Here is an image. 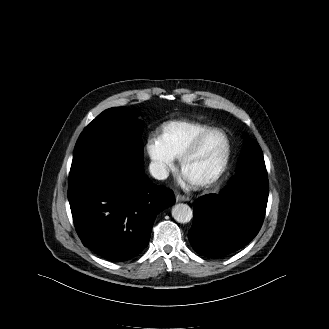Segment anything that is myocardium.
Segmentation results:
<instances>
[{
  "mask_svg": "<svg viewBox=\"0 0 329 329\" xmlns=\"http://www.w3.org/2000/svg\"><path fill=\"white\" fill-rule=\"evenodd\" d=\"M213 133H221L225 137V140H226L225 154H224L223 160H222L219 168L212 176H210L209 178H207L205 180L198 181V182L190 181L197 188H206V187L212 186L225 173V171L229 165L231 155H232V143H231L230 137L221 128H210L207 131L198 135L179 158V168H180L181 173L183 174V170H184L186 163L198 152L203 141Z\"/></svg>",
  "mask_w": 329,
  "mask_h": 329,
  "instance_id": "myocardium-1",
  "label": "myocardium"
}]
</instances>
